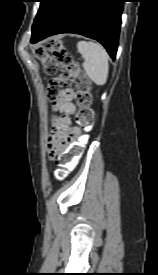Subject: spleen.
Wrapping results in <instances>:
<instances>
[{
	"instance_id": "obj_1",
	"label": "spleen",
	"mask_w": 158,
	"mask_h": 275,
	"mask_svg": "<svg viewBox=\"0 0 158 275\" xmlns=\"http://www.w3.org/2000/svg\"><path fill=\"white\" fill-rule=\"evenodd\" d=\"M77 49L84 59L83 68L87 76L96 85H104L109 71V57L104 47L99 43L79 41Z\"/></svg>"
}]
</instances>
